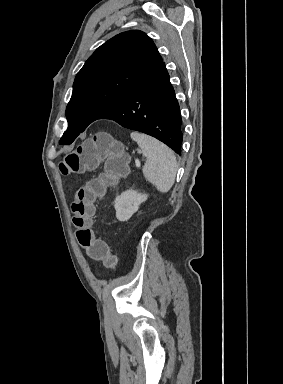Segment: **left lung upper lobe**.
<instances>
[{
	"mask_svg": "<svg viewBox=\"0 0 283 384\" xmlns=\"http://www.w3.org/2000/svg\"><path fill=\"white\" fill-rule=\"evenodd\" d=\"M162 61L152 39L139 30L120 33L97 48L75 77L66 108L68 128L59 142L71 144Z\"/></svg>",
	"mask_w": 283,
	"mask_h": 384,
	"instance_id": "1",
	"label": "left lung upper lobe"
}]
</instances>
